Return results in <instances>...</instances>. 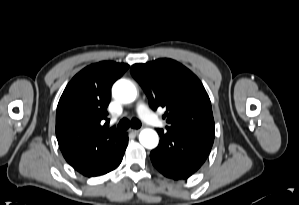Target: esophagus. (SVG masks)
<instances>
[{
    "instance_id": "34e87169",
    "label": "esophagus",
    "mask_w": 299,
    "mask_h": 205,
    "mask_svg": "<svg viewBox=\"0 0 299 205\" xmlns=\"http://www.w3.org/2000/svg\"><path fill=\"white\" fill-rule=\"evenodd\" d=\"M130 132L133 134H138L140 132V129H130Z\"/></svg>"
}]
</instances>
